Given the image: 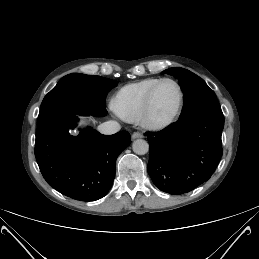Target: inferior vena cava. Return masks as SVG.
<instances>
[{"instance_id": "1", "label": "inferior vena cava", "mask_w": 259, "mask_h": 259, "mask_svg": "<svg viewBox=\"0 0 259 259\" xmlns=\"http://www.w3.org/2000/svg\"><path fill=\"white\" fill-rule=\"evenodd\" d=\"M97 129L101 134L110 135L120 131L121 126L117 121L110 120L100 124Z\"/></svg>"}]
</instances>
